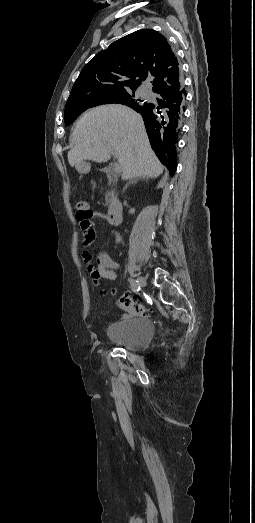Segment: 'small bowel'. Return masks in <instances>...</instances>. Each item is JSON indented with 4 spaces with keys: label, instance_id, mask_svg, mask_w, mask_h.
<instances>
[{
    "label": "small bowel",
    "instance_id": "c3829d8e",
    "mask_svg": "<svg viewBox=\"0 0 255 523\" xmlns=\"http://www.w3.org/2000/svg\"><path fill=\"white\" fill-rule=\"evenodd\" d=\"M91 217L103 219L105 216L102 213H91ZM82 229L83 251L82 258L87 267L88 272L93 277L103 278L107 280H115L117 278V269L119 264L107 253L100 252L96 258V263L93 264L92 257L89 253V246L94 243L97 233L94 224L89 220L85 223H80Z\"/></svg>",
    "mask_w": 255,
    "mask_h": 523
}]
</instances>
